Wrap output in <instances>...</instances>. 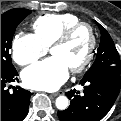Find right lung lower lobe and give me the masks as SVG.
I'll return each mask as SVG.
<instances>
[{
  "label": "right lung lower lobe",
  "mask_w": 121,
  "mask_h": 121,
  "mask_svg": "<svg viewBox=\"0 0 121 121\" xmlns=\"http://www.w3.org/2000/svg\"><path fill=\"white\" fill-rule=\"evenodd\" d=\"M17 71L1 70V121H22L27 113L30 104L31 92L20 88L13 87L9 91L7 84L17 79Z\"/></svg>",
  "instance_id": "98d812e1"
}]
</instances>
